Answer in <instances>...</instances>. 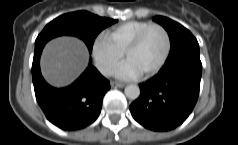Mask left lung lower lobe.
Returning <instances> with one entry per match:
<instances>
[{
  "label": "left lung lower lobe",
  "mask_w": 238,
  "mask_h": 145,
  "mask_svg": "<svg viewBox=\"0 0 238 145\" xmlns=\"http://www.w3.org/2000/svg\"><path fill=\"white\" fill-rule=\"evenodd\" d=\"M202 63L199 54H189L164 65L141 83L140 96L130 105L134 119L153 131H169L191 114L199 95Z\"/></svg>",
  "instance_id": "left-lung-lower-lobe-1"
}]
</instances>
